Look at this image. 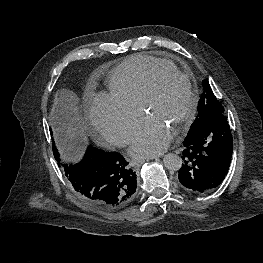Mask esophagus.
Segmentation results:
<instances>
[{
    "label": "esophagus",
    "instance_id": "34e87169",
    "mask_svg": "<svg viewBox=\"0 0 263 263\" xmlns=\"http://www.w3.org/2000/svg\"><path fill=\"white\" fill-rule=\"evenodd\" d=\"M144 162V160L138 161V162H133V164L135 165V167H139L141 166V164Z\"/></svg>",
    "mask_w": 263,
    "mask_h": 263
}]
</instances>
